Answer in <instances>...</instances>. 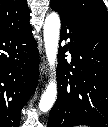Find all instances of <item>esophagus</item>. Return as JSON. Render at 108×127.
Listing matches in <instances>:
<instances>
[{
  "instance_id": "obj_1",
  "label": "esophagus",
  "mask_w": 108,
  "mask_h": 127,
  "mask_svg": "<svg viewBox=\"0 0 108 127\" xmlns=\"http://www.w3.org/2000/svg\"><path fill=\"white\" fill-rule=\"evenodd\" d=\"M40 70H41V73L44 75L47 73L48 71V68H47V64L45 61H43L40 65Z\"/></svg>"
}]
</instances>
